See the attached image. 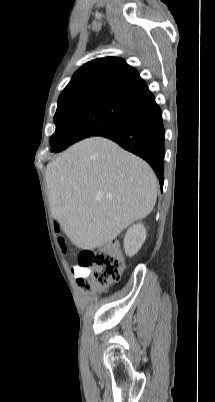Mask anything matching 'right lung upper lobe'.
Masks as SVG:
<instances>
[{
    "mask_svg": "<svg viewBox=\"0 0 215 402\" xmlns=\"http://www.w3.org/2000/svg\"><path fill=\"white\" fill-rule=\"evenodd\" d=\"M91 93L116 95L142 105L154 98L138 71L117 57L99 58L84 64L59 98Z\"/></svg>",
    "mask_w": 215,
    "mask_h": 402,
    "instance_id": "right-lung-upper-lobe-1",
    "label": "right lung upper lobe"
}]
</instances>
